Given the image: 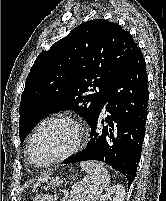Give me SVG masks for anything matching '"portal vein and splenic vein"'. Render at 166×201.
Returning <instances> with one entry per match:
<instances>
[{
  "label": "portal vein and splenic vein",
  "mask_w": 166,
  "mask_h": 201,
  "mask_svg": "<svg viewBox=\"0 0 166 201\" xmlns=\"http://www.w3.org/2000/svg\"><path fill=\"white\" fill-rule=\"evenodd\" d=\"M65 195H66V197H67V196H68V193L66 192V194H65Z\"/></svg>",
  "instance_id": "portal-vein-and-splenic-vein-1"
}]
</instances>
